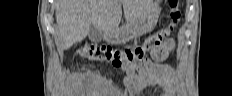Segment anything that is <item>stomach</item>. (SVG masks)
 <instances>
[{"mask_svg": "<svg viewBox=\"0 0 232 96\" xmlns=\"http://www.w3.org/2000/svg\"><path fill=\"white\" fill-rule=\"evenodd\" d=\"M160 13L158 4L151 3L149 8L133 23H126L114 31L104 33V39L111 44H121L132 38L150 32L157 23Z\"/></svg>", "mask_w": 232, "mask_h": 96, "instance_id": "stomach-1", "label": "stomach"}]
</instances>
